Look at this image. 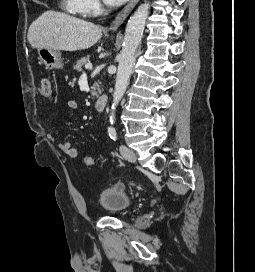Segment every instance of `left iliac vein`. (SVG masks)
Returning a JSON list of instances; mask_svg holds the SVG:
<instances>
[{
    "mask_svg": "<svg viewBox=\"0 0 255 272\" xmlns=\"http://www.w3.org/2000/svg\"><path fill=\"white\" fill-rule=\"evenodd\" d=\"M120 153L126 160H128L130 162L136 161V154L130 148H128L124 145H121L120 146Z\"/></svg>",
    "mask_w": 255,
    "mask_h": 272,
    "instance_id": "obj_1",
    "label": "left iliac vein"
}]
</instances>
